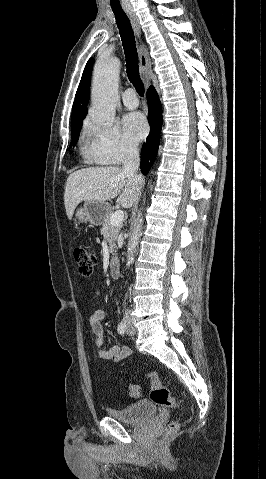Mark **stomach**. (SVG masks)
<instances>
[{
  "label": "stomach",
  "instance_id": "1",
  "mask_svg": "<svg viewBox=\"0 0 266 479\" xmlns=\"http://www.w3.org/2000/svg\"><path fill=\"white\" fill-rule=\"evenodd\" d=\"M110 213V205L103 201H85L83 207L77 209L75 217L79 223L90 222L100 225Z\"/></svg>",
  "mask_w": 266,
  "mask_h": 479
}]
</instances>
